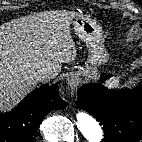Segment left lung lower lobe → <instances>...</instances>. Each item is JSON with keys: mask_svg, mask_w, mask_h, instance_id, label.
<instances>
[{"mask_svg": "<svg viewBox=\"0 0 142 142\" xmlns=\"http://www.w3.org/2000/svg\"><path fill=\"white\" fill-rule=\"evenodd\" d=\"M76 105L103 125V142H137L142 138V85L109 89L88 83L78 93Z\"/></svg>", "mask_w": 142, "mask_h": 142, "instance_id": "0a47b994", "label": "left lung lower lobe"}]
</instances>
